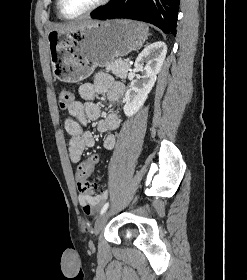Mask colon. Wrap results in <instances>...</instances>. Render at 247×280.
<instances>
[{
  "label": "colon",
  "instance_id": "colon-1",
  "mask_svg": "<svg viewBox=\"0 0 247 280\" xmlns=\"http://www.w3.org/2000/svg\"><path fill=\"white\" fill-rule=\"evenodd\" d=\"M58 102L61 109H67L74 102V94L71 90L60 91ZM99 156L92 155L88 160L79 164L76 172L77 188L81 194H92L94 187L89 182V177L93 173L94 166L98 163Z\"/></svg>",
  "mask_w": 247,
  "mask_h": 280
}]
</instances>
